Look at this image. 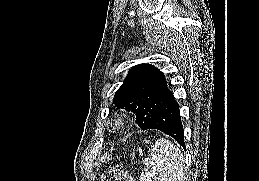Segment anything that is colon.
Listing matches in <instances>:
<instances>
[{
    "label": "colon",
    "instance_id": "obj_1",
    "mask_svg": "<svg viewBox=\"0 0 259 181\" xmlns=\"http://www.w3.org/2000/svg\"><path fill=\"white\" fill-rule=\"evenodd\" d=\"M108 175L110 181H133L130 174L120 165H115Z\"/></svg>",
    "mask_w": 259,
    "mask_h": 181
}]
</instances>
